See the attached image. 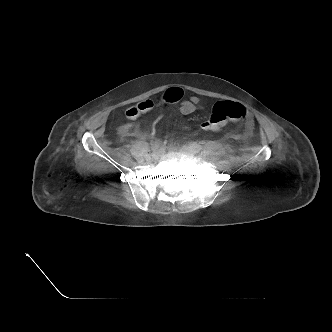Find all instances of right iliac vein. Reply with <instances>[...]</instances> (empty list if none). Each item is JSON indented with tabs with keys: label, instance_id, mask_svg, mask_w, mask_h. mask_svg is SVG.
Here are the masks:
<instances>
[{
	"label": "right iliac vein",
	"instance_id": "1",
	"mask_svg": "<svg viewBox=\"0 0 332 332\" xmlns=\"http://www.w3.org/2000/svg\"><path fill=\"white\" fill-rule=\"evenodd\" d=\"M160 150L159 149H156L152 152L151 156L153 159H158V157L160 156Z\"/></svg>",
	"mask_w": 332,
	"mask_h": 332
}]
</instances>
